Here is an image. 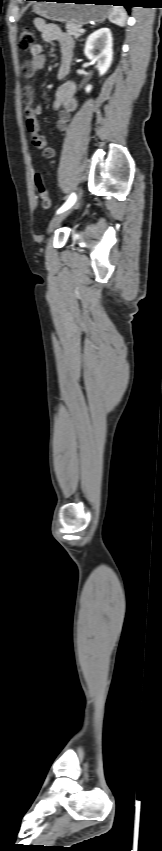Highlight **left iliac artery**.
Listing matches in <instances>:
<instances>
[{
  "label": "left iliac artery",
  "mask_w": 162,
  "mask_h": 851,
  "mask_svg": "<svg viewBox=\"0 0 162 851\" xmlns=\"http://www.w3.org/2000/svg\"><path fill=\"white\" fill-rule=\"evenodd\" d=\"M75 201H76V195L74 193H72L71 196L69 197V199L66 201V203L57 211V213L59 214V213L66 211L75 203Z\"/></svg>",
  "instance_id": "left-iliac-artery-1"
}]
</instances>
